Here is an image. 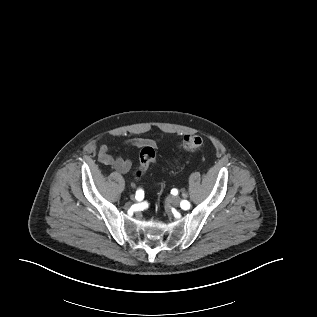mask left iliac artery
I'll use <instances>...</instances> for the list:
<instances>
[{
	"mask_svg": "<svg viewBox=\"0 0 317 317\" xmlns=\"http://www.w3.org/2000/svg\"><path fill=\"white\" fill-rule=\"evenodd\" d=\"M181 207L183 209H189L190 208V203L187 200H182Z\"/></svg>",
	"mask_w": 317,
	"mask_h": 317,
	"instance_id": "1",
	"label": "left iliac artery"
}]
</instances>
